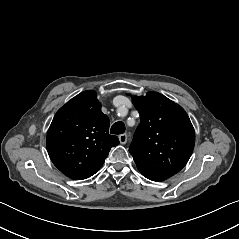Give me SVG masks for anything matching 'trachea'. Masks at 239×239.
<instances>
[{
    "label": "trachea",
    "mask_w": 239,
    "mask_h": 239,
    "mask_svg": "<svg viewBox=\"0 0 239 239\" xmlns=\"http://www.w3.org/2000/svg\"><path fill=\"white\" fill-rule=\"evenodd\" d=\"M125 132V125L123 122L119 121L112 125L110 133L111 134H123Z\"/></svg>",
    "instance_id": "3493384b"
}]
</instances>
